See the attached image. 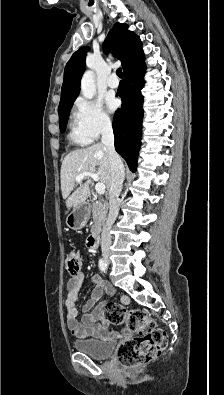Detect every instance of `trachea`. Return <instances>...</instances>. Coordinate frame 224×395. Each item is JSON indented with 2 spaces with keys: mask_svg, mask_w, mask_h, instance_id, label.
Here are the masks:
<instances>
[{
  "mask_svg": "<svg viewBox=\"0 0 224 395\" xmlns=\"http://www.w3.org/2000/svg\"><path fill=\"white\" fill-rule=\"evenodd\" d=\"M116 74L119 78H123V73L121 68L117 69Z\"/></svg>",
  "mask_w": 224,
  "mask_h": 395,
  "instance_id": "obj_1",
  "label": "trachea"
}]
</instances>
